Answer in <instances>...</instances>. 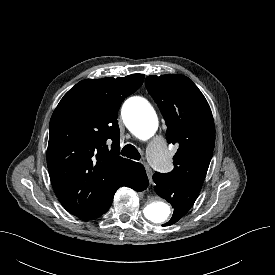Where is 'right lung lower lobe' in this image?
<instances>
[{
  "label": "right lung lower lobe",
  "instance_id": "1",
  "mask_svg": "<svg viewBox=\"0 0 275 275\" xmlns=\"http://www.w3.org/2000/svg\"><path fill=\"white\" fill-rule=\"evenodd\" d=\"M122 186L131 187L136 191L144 190L148 186V179L143 165L137 163V165L132 167L130 172L124 178ZM112 200L96 217L101 216L108 211L109 207L111 206Z\"/></svg>",
  "mask_w": 275,
  "mask_h": 275
}]
</instances>
